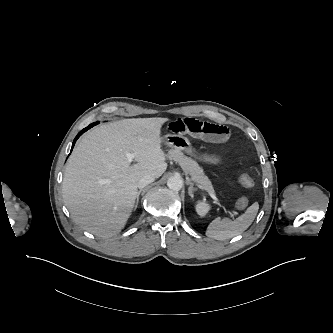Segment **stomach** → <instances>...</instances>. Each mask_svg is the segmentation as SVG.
<instances>
[{
  "mask_svg": "<svg viewBox=\"0 0 333 333\" xmlns=\"http://www.w3.org/2000/svg\"><path fill=\"white\" fill-rule=\"evenodd\" d=\"M164 143L175 150L183 151L187 154H194V150L191 146L190 141L181 135H165L164 137ZM208 162L213 164H218L222 162V158L219 156H208L205 158Z\"/></svg>",
  "mask_w": 333,
  "mask_h": 333,
  "instance_id": "obj_1",
  "label": "stomach"
}]
</instances>
